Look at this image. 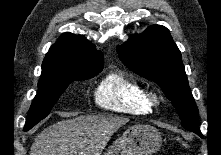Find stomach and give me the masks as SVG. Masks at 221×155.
<instances>
[{
    "mask_svg": "<svg viewBox=\"0 0 221 155\" xmlns=\"http://www.w3.org/2000/svg\"><path fill=\"white\" fill-rule=\"evenodd\" d=\"M162 144L160 132L149 125H134L116 140L104 155H152Z\"/></svg>",
    "mask_w": 221,
    "mask_h": 155,
    "instance_id": "0dacf381",
    "label": "stomach"
}]
</instances>
